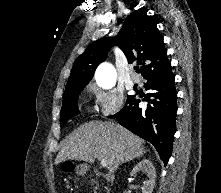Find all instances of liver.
I'll return each instance as SVG.
<instances>
[{
  "label": "liver",
  "instance_id": "liver-1",
  "mask_svg": "<svg viewBox=\"0 0 221 193\" xmlns=\"http://www.w3.org/2000/svg\"><path fill=\"white\" fill-rule=\"evenodd\" d=\"M142 140L113 122L91 121L80 125L67 138L55 159V164L65 160L95 159L108 161L110 173L120 164L141 157L145 153Z\"/></svg>",
  "mask_w": 221,
  "mask_h": 193
}]
</instances>
